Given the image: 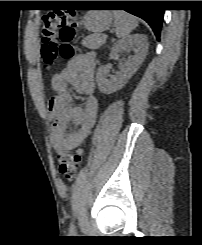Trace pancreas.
<instances>
[{"instance_id":"1","label":"pancreas","mask_w":202,"mask_h":245,"mask_svg":"<svg viewBox=\"0 0 202 245\" xmlns=\"http://www.w3.org/2000/svg\"><path fill=\"white\" fill-rule=\"evenodd\" d=\"M104 43V37L97 34L89 35L82 41V45L89 49H98Z\"/></svg>"}]
</instances>
